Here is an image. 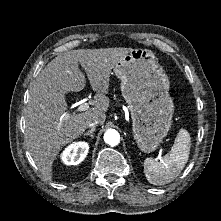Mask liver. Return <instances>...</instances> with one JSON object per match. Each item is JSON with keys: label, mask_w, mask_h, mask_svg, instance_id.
<instances>
[{"label": "liver", "mask_w": 221, "mask_h": 221, "mask_svg": "<svg viewBox=\"0 0 221 221\" xmlns=\"http://www.w3.org/2000/svg\"><path fill=\"white\" fill-rule=\"evenodd\" d=\"M131 50L122 47L66 51L49 62L32 83L25 112L26 146L47 180L52 179V166L59 151L80 137L91 120L99 118L100 124L105 122L111 70ZM79 64L96 92L93 107L67 114L65 94L79 92L86 85Z\"/></svg>", "instance_id": "1"}]
</instances>
